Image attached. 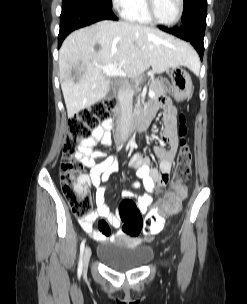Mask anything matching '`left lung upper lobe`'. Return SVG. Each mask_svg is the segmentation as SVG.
<instances>
[{"mask_svg": "<svg viewBox=\"0 0 247 304\" xmlns=\"http://www.w3.org/2000/svg\"><path fill=\"white\" fill-rule=\"evenodd\" d=\"M207 4V0H184V10L182 14V21L185 20L194 9Z\"/></svg>", "mask_w": 247, "mask_h": 304, "instance_id": "left-lung-upper-lobe-1", "label": "left lung upper lobe"}]
</instances>
